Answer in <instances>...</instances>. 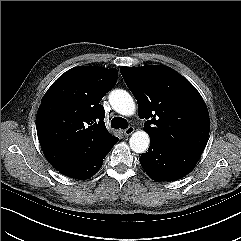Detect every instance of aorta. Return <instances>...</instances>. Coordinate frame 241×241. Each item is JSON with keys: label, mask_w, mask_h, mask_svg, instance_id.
Instances as JSON below:
<instances>
[{"label": "aorta", "mask_w": 241, "mask_h": 241, "mask_svg": "<svg viewBox=\"0 0 241 241\" xmlns=\"http://www.w3.org/2000/svg\"><path fill=\"white\" fill-rule=\"evenodd\" d=\"M109 102L112 108L119 114L131 116L134 114L136 105L132 96L125 90L116 89L109 94ZM130 148L135 153H144L150 144L147 132L137 131L132 134L129 140Z\"/></svg>", "instance_id": "762f6f07"}]
</instances>
